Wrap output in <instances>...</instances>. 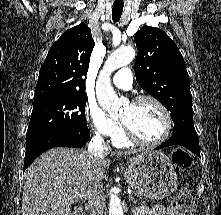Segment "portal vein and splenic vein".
I'll return each mask as SVG.
<instances>
[{
	"label": "portal vein and splenic vein",
	"instance_id": "18ae733b",
	"mask_svg": "<svg viewBox=\"0 0 221 215\" xmlns=\"http://www.w3.org/2000/svg\"><path fill=\"white\" fill-rule=\"evenodd\" d=\"M129 199H130V200H133V197H132V196H129Z\"/></svg>",
	"mask_w": 221,
	"mask_h": 215
}]
</instances>
